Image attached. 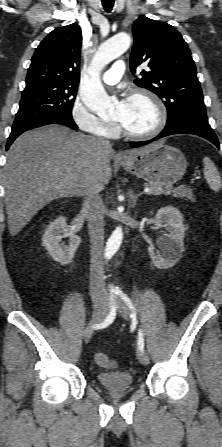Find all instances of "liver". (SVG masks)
Instances as JSON below:
<instances>
[{"label": "liver", "instance_id": "obj_1", "mask_svg": "<svg viewBox=\"0 0 222 447\" xmlns=\"http://www.w3.org/2000/svg\"><path fill=\"white\" fill-rule=\"evenodd\" d=\"M143 148L126 151L136 155ZM112 148L99 139L60 125L19 136L7 153L3 182L8 229L18 234L51 201L85 195L111 179Z\"/></svg>", "mask_w": 222, "mask_h": 447}]
</instances>
